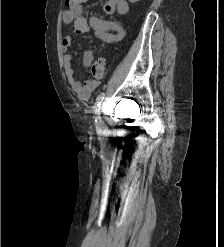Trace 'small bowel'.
<instances>
[{
	"mask_svg": "<svg viewBox=\"0 0 224 247\" xmlns=\"http://www.w3.org/2000/svg\"><path fill=\"white\" fill-rule=\"evenodd\" d=\"M103 10L108 15L114 13L125 15L129 10V4L126 0H106L103 5ZM62 20L64 24H73L74 27L73 31L62 39L64 72L71 90L80 99L85 100L88 99L92 92L98 87L99 80L92 79L81 83L76 79L75 71L72 67L75 52H70L76 35L92 29L94 34L101 41L111 43L121 39L124 30L117 21L104 20L94 15H90L88 18L85 17L83 15L82 5L65 10L62 15ZM95 52L96 49H89L83 53L82 63L84 66H89L93 62Z\"/></svg>",
	"mask_w": 224,
	"mask_h": 247,
	"instance_id": "obj_1",
	"label": "small bowel"
}]
</instances>
